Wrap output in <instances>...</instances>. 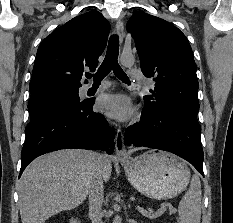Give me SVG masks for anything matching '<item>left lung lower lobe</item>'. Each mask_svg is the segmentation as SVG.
Here are the masks:
<instances>
[{"label": "left lung lower lobe", "mask_w": 233, "mask_h": 223, "mask_svg": "<svg viewBox=\"0 0 233 223\" xmlns=\"http://www.w3.org/2000/svg\"><path fill=\"white\" fill-rule=\"evenodd\" d=\"M201 127L197 114L168 112L148 115L142 112L141 120L125 131L127 145L146 146L172 152L190 162L203 176V149Z\"/></svg>", "instance_id": "left-lung-lower-lobe-1"}]
</instances>
